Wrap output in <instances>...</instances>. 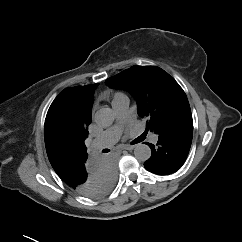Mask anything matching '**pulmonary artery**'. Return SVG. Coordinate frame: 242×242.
<instances>
[{
  "instance_id": "e3ab8cb5",
  "label": "pulmonary artery",
  "mask_w": 242,
  "mask_h": 242,
  "mask_svg": "<svg viewBox=\"0 0 242 242\" xmlns=\"http://www.w3.org/2000/svg\"><path fill=\"white\" fill-rule=\"evenodd\" d=\"M129 99L124 94H116L112 106L117 116V124L102 132L95 140L94 146L98 149L115 144L122 134V124L127 119ZM153 142L158 140L156 135L151 137Z\"/></svg>"
}]
</instances>
